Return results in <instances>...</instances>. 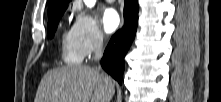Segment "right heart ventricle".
I'll use <instances>...</instances> for the list:
<instances>
[{
	"label": "right heart ventricle",
	"mask_w": 221,
	"mask_h": 102,
	"mask_svg": "<svg viewBox=\"0 0 221 102\" xmlns=\"http://www.w3.org/2000/svg\"><path fill=\"white\" fill-rule=\"evenodd\" d=\"M60 54L61 58L67 64H78L82 60V57L74 44L71 30L64 31L62 34L60 42Z\"/></svg>",
	"instance_id": "obj_1"
}]
</instances>
